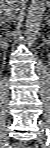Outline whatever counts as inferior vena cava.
<instances>
[{
  "instance_id": "602c4592",
  "label": "inferior vena cava",
  "mask_w": 50,
  "mask_h": 148,
  "mask_svg": "<svg viewBox=\"0 0 50 148\" xmlns=\"http://www.w3.org/2000/svg\"><path fill=\"white\" fill-rule=\"evenodd\" d=\"M15 2H18V0H7L5 6H2L6 22H11L14 20L15 13L17 12Z\"/></svg>"
}]
</instances>
